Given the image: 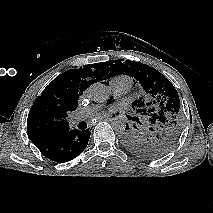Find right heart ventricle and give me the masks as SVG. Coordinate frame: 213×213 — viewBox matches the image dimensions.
Returning <instances> with one entry per match:
<instances>
[{
  "label": "right heart ventricle",
  "mask_w": 213,
  "mask_h": 213,
  "mask_svg": "<svg viewBox=\"0 0 213 213\" xmlns=\"http://www.w3.org/2000/svg\"><path fill=\"white\" fill-rule=\"evenodd\" d=\"M116 78H126V76H119V77H116Z\"/></svg>",
  "instance_id": "1"
}]
</instances>
